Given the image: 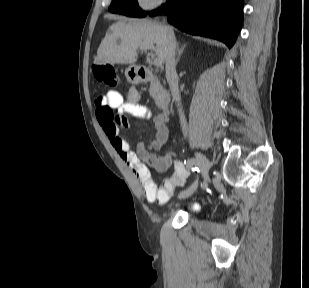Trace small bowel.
<instances>
[{
  "label": "small bowel",
  "instance_id": "c3829d8e",
  "mask_svg": "<svg viewBox=\"0 0 309 288\" xmlns=\"http://www.w3.org/2000/svg\"><path fill=\"white\" fill-rule=\"evenodd\" d=\"M95 107L98 122L113 149L142 181L146 200L158 204L166 203L173 195L176 187L183 185L189 175L185 167L179 164L180 161L175 158L173 152L162 156H157L150 152V150L160 149L168 140L167 114L160 113L156 117V134L154 139L149 144L139 143L134 151L131 149L128 141L119 133L118 124L114 121L112 110L117 109L122 113L139 119H148L150 117V110L140 103L137 90L130 89L125 99L118 91H109L104 96L96 99ZM128 125L129 123L127 122L124 126L127 127ZM146 163L159 172H164L173 165V175L157 188L149 180V170Z\"/></svg>",
  "mask_w": 309,
  "mask_h": 288
}]
</instances>
